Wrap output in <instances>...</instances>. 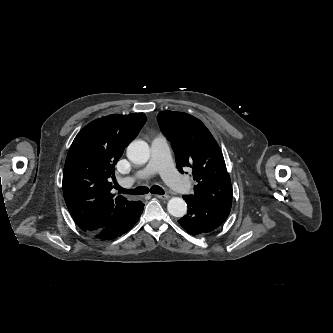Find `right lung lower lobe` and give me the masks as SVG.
<instances>
[{"mask_svg":"<svg viewBox=\"0 0 333 333\" xmlns=\"http://www.w3.org/2000/svg\"><path fill=\"white\" fill-rule=\"evenodd\" d=\"M143 208L144 204L141 201H136L134 202L133 209L120 215L105 227L89 233L102 240H112L117 238L134 226V224L139 220L140 215L143 212Z\"/></svg>","mask_w":333,"mask_h":333,"instance_id":"obj_1","label":"right lung lower lobe"}]
</instances>
